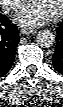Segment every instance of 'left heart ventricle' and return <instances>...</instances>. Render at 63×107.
Segmentation results:
<instances>
[{
  "label": "left heart ventricle",
  "mask_w": 63,
  "mask_h": 107,
  "mask_svg": "<svg viewBox=\"0 0 63 107\" xmlns=\"http://www.w3.org/2000/svg\"><path fill=\"white\" fill-rule=\"evenodd\" d=\"M32 2H36L43 6L51 15H54L59 7H60V0L53 1V0H34Z\"/></svg>",
  "instance_id": "1"
}]
</instances>
